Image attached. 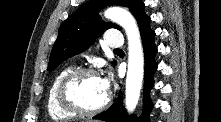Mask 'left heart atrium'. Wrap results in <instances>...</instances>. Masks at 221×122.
<instances>
[{"label":"left heart atrium","mask_w":221,"mask_h":122,"mask_svg":"<svg viewBox=\"0 0 221 122\" xmlns=\"http://www.w3.org/2000/svg\"><path fill=\"white\" fill-rule=\"evenodd\" d=\"M101 82H102V85H103V88L108 91L109 89V86H110V80L108 77H104V78H101Z\"/></svg>","instance_id":"left-heart-atrium-1"}]
</instances>
